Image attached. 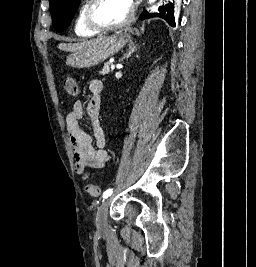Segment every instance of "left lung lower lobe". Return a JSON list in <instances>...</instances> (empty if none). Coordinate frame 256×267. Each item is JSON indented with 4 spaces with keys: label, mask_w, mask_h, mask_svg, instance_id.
<instances>
[{
    "label": "left lung lower lobe",
    "mask_w": 256,
    "mask_h": 267,
    "mask_svg": "<svg viewBox=\"0 0 256 267\" xmlns=\"http://www.w3.org/2000/svg\"><path fill=\"white\" fill-rule=\"evenodd\" d=\"M172 10H173V12H174V4L172 3ZM169 25H171V26H175V21H174V17H172V24H169Z\"/></svg>",
    "instance_id": "0a47b994"
}]
</instances>
